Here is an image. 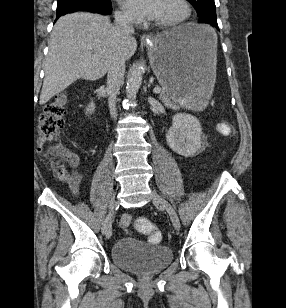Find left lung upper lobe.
<instances>
[{
	"mask_svg": "<svg viewBox=\"0 0 286 308\" xmlns=\"http://www.w3.org/2000/svg\"><path fill=\"white\" fill-rule=\"evenodd\" d=\"M196 9L197 15L202 16L211 11H216L214 0H188Z\"/></svg>",
	"mask_w": 286,
	"mask_h": 308,
	"instance_id": "left-lung-upper-lobe-1",
	"label": "left lung upper lobe"
}]
</instances>
